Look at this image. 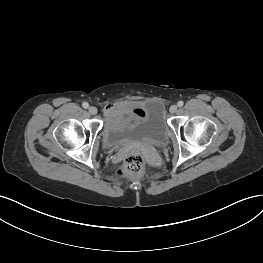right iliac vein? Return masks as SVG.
Masks as SVG:
<instances>
[{
    "mask_svg": "<svg viewBox=\"0 0 263 263\" xmlns=\"http://www.w3.org/2000/svg\"><path fill=\"white\" fill-rule=\"evenodd\" d=\"M88 111H89L90 114L95 115L97 113V108L94 107V106H90L88 108Z\"/></svg>",
    "mask_w": 263,
    "mask_h": 263,
    "instance_id": "63e3f726",
    "label": "right iliac vein"
}]
</instances>
